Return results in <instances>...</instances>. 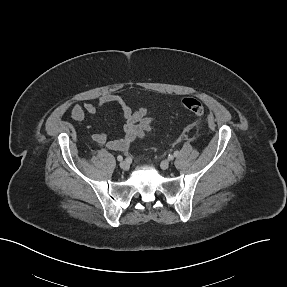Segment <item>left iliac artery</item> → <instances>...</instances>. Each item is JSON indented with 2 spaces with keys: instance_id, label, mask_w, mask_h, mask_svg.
<instances>
[{
  "instance_id": "1",
  "label": "left iliac artery",
  "mask_w": 287,
  "mask_h": 287,
  "mask_svg": "<svg viewBox=\"0 0 287 287\" xmlns=\"http://www.w3.org/2000/svg\"><path fill=\"white\" fill-rule=\"evenodd\" d=\"M175 157H177L179 155V152L178 151H175L174 154H173Z\"/></svg>"
}]
</instances>
